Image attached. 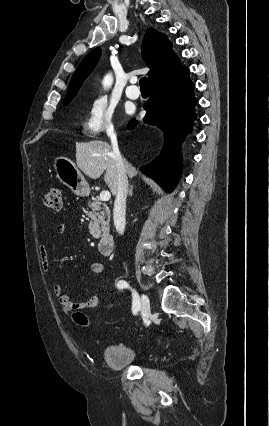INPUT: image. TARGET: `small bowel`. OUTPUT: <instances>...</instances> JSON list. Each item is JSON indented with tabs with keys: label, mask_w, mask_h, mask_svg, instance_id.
<instances>
[{
	"label": "small bowel",
	"mask_w": 269,
	"mask_h": 426,
	"mask_svg": "<svg viewBox=\"0 0 269 426\" xmlns=\"http://www.w3.org/2000/svg\"><path fill=\"white\" fill-rule=\"evenodd\" d=\"M58 235H65L68 231L65 224H60L56 228ZM39 258L41 261L44 272L49 273L51 265L49 261V254L45 244H41L38 248ZM90 273L92 275L101 276L104 274V265L100 262H94L90 265ZM53 293L57 298L59 304L65 311H73L80 309H88L99 306L102 303L101 298L94 296L87 301L78 302L70 299L69 295L66 294L59 284L53 285Z\"/></svg>",
	"instance_id": "small-bowel-1"
}]
</instances>
